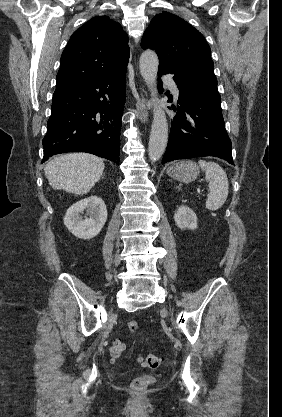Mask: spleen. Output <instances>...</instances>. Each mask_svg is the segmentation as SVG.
Wrapping results in <instances>:
<instances>
[{
  "instance_id": "3e777b00",
  "label": "spleen",
  "mask_w": 282,
  "mask_h": 417,
  "mask_svg": "<svg viewBox=\"0 0 282 417\" xmlns=\"http://www.w3.org/2000/svg\"><path fill=\"white\" fill-rule=\"evenodd\" d=\"M198 164L204 170L205 178L209 186L205 209L217 211V209H221L222 204H224L228 196L229 180L227 174L217 162L198 160Z\"/></svg>"
}]
</instances>
